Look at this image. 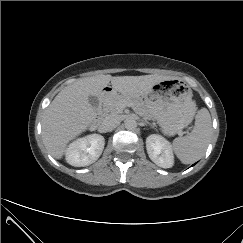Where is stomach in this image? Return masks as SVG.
I'll return each instance as SVG.
<instances>
[{
  "label": "stomach",
  "mask_w": 243,
  "mask_h": 243,
  "mask_svg": "<svg viewBox=\"0 0 243 243\" xmlns=\"http://www.w3.org/2000/svg\"><path fill=\"white\" fill-rule=\"evenodd\" d=\"M144 96L145 107L163 132L173 135L187 127L195 114L192 90L178 81H162Z\"/></svg>",
  "instance_id": "stomach-1"
}]
</instances>
